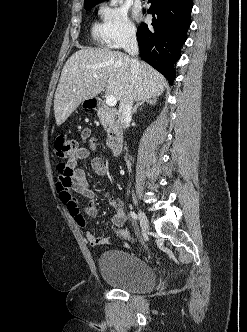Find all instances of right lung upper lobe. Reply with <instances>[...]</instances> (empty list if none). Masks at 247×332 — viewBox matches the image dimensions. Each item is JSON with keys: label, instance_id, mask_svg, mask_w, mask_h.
I'll return each mask as SVG.
<instances>
[{"label": "right lung upper lobe", "instance_id": "obj_1", "mask_svg": "<svg viewBox=\"0 0 247 332\" xmlns=\"http://www.w3.org/2000/svg\"><path fill=\"white\" fill-rule=\"evenodd\" d=\"M103 0H85L84 4L85 5H92V4H98L100 2H102Z\"/></svg>", "mask_w": 247, "mask_h": 332}]
</instances>
